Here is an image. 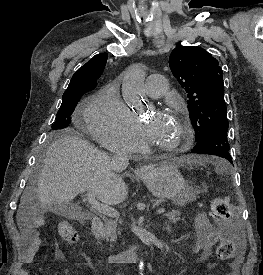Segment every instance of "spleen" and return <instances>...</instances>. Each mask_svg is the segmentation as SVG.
Masks as SVG:
<instances>
[{
    "mask_svg": "<svg viewBox=\"0 0 263 275\" xmlns=\"http://www.w3.org/2000/svg\"><path fill=\"white\" fill-rule=\"evenodd\" d=\"M202 163V162H200ZM216 169L219 173H223L228 169V164L222 161L216 162L215 163Z\"/></svg>",
    "mask_w": 263,
    "mask_h": 275,
    "instance_id": "obj_1",
    "label": "spleen"
}]
</instances>
